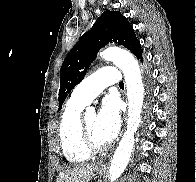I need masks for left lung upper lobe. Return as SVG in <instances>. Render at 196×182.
I'll return each mask as SVG.
<instances>
[{
  "instance_id": "obj_1",
  "label": "left lung upper lobe",
  "mask_w": 196,
  "mask_h": 182,
  "mask_svg": "<svg viewBox=\"0 0 196 182\" xmlns=\"http://www.w3.org/2000/svg\"><path fill=\"white\" fill-rule=\"evenodd\" d=\"M109 42L123 45L137 59L142 49L134 29L119 11H105L90 31L83 34L66 56L60 69L59 109L70 91L82 81L97 52Z\"/></svg>"
}]
</instances>
